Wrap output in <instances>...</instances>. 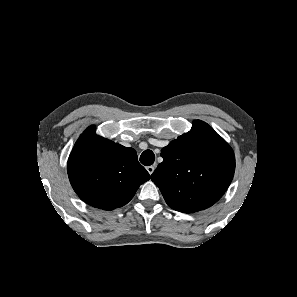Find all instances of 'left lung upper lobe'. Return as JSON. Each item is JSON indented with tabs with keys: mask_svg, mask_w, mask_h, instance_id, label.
I'll return each instance as SVG.
<instances>
[{
	"mask_svg": "<svg viewBox=\"0 0 297 297\" xmlns=\"http://www.w3.org/2000/svg\"><path fill=\"white\" fill-rule=\"evenodd\" d=\"M161 156L163 162L151 180L176 211L194 213L212 206L233 179L232 148L201 120L193 122L190 132L162 148Z\"/></svg>",
	"mask_w": 297,
	"mask_h": 297,
	"instance_id": "1",
	"label": "left lung upper lobe"
}]
</instances>
